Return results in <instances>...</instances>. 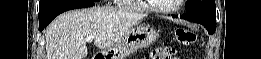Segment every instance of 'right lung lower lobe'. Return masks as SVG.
<instances>
[{
    "instance_id": "right-lung-lower-lobe-1",
    "label": "right lung lower lobe",
    "mask_w": 261,
    "mask_h": 59,
    "mask_svg": "<svg viewBox=\"0 0 261 59\" xmlns=\"http://www.w3.org/2000/svg\"><path fill=\"white\" fill-rule=\"evenodd\" d=\"M94 6L92 0H65L39 15V30L42 31L59 14L77 8Z\"/></svg>"
}]
</instances>
